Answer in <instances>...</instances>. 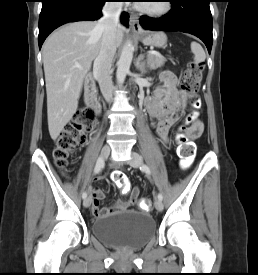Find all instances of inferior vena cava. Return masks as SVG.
<instances>
[{
	"mask_svg": "<svg viewBox=\"0 0 258 275\" xmlns=\"http://www.w3.org/2000/svg\"><path fill=\"white\" fill-rule=\"evenodd\" d=\"M121 10L120 2H106L102 9L103 16L97 23V27L103 31V36L99 54L94 61L93 74L108 102L113 96L111 66L117 49L116 31Z\"/></svg>",
	"mask_w": 258,
	"mask_h": 275,
	"instance_id": "602c4592",
	"label": "inferior vena cava"
}]
</instances>
